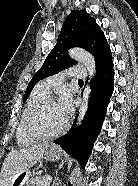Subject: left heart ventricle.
Instances as JSON below:
<instances>
[{"label": "left heart ventricle", "instance_id": "left-heart-ventricle-1", "mask_svg": "<svg viewBox=\"0 0 138 186\" xmlns=\"http://www.w3.org/2000/svg\"><path fill=\"white\" fill-rule=\"evenodd\" d=\"M65 119L62 116L57 103L47 105L42 112L36 117L35 128L45 134H51L60 130L64 124Z\"/></svg>", "mask_w": 138, "mask_h": 186}]
</instances>
